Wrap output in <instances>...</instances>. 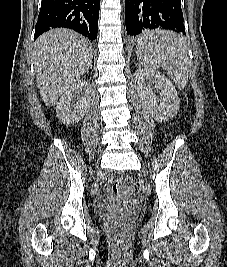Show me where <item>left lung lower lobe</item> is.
Returning <instances> with one entry per match:
<instances>
[{"label":"left lung lower lobe","mask_w":227,"mask_h":267,"mask_svg":"<svg viewBox=\"0 0 227 267\" xmlns=\"http://www.w3.org/2000/svg\"><path fill=\"white\" fill-rule=\"evenodd\" d=\"M125 23L132 38L153 29L185 34L181 0H125Z\"/></svg>","instance_id":"obj_1"}]
</instances>
